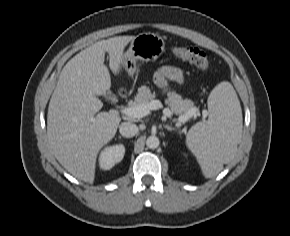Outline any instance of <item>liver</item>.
Masks as SVG:
<instances>
[{
	"mask_svg": "<svg viewBox=\"0 0 290 236\" xmlns=\"http://www.w3.org/2000/svg\"><path fill=\"white\" fill-rule=\"evenodd\" d=\"M135 36L101 40L71 58L61 71L47 114V138L53 155L73 176L93 183L100 149L116 134L121 118L99 112L111 77L122 71L124 48ZM96 113H98L96 115Z\"/></svg>",
	"mask_w": 290,
	"mask_h": 236,
	"instance_id": "6515ba94",
	"label": "liver"
}]
</instances>
